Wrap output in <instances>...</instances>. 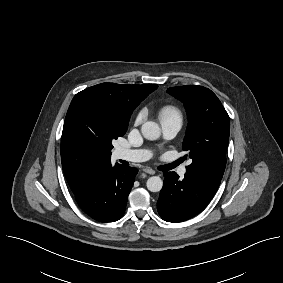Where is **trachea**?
Returning <instances> with one entry per match:
<instances>
[{
    "label": "trachea",
    "mask_w": 283,
    "mask_h": 283,
    "mask_svg": "<svg viewBox=\"0 0 283 283\" xmlns=\"http://www.w3.org/2000/svg\"><path fill=\"white\" fill-rule=\"evenodd\" d=\"M177 164H172V165H168V166H163V167H160V170L164 171V170H170L172 169L173 167H175Z\"/></svg>",
    "instance_id": "1"
}]
</instances>
